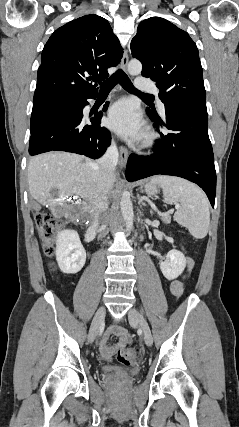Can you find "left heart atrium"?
Returning <instances> with one entry per match:
<instances>
[{"label": "left heart atrium", "mask_w": 239, "mask_h": 427, "mask_svg": "<svg viewBox=\"0 0 239 427\" xmlns=\"http://www.w3.org/2000/svg\"><path fill=\"white\" fill-rule=\"evenodd\" d=\"M107 124L110 129L127 139H137L144 126L135 106L129 100L116 102L109 110Z\"/></svg>", "instance_id": "1"}]
</instances>
